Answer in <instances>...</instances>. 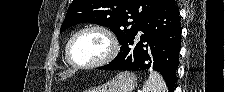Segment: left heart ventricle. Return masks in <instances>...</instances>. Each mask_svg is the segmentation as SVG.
I'll return each mask as SVG.
<instances>
[{"instance_id": "1", "label": "left heart ventricle", "mask_w": 225, "mask_h": 92, "mask_svg": "<svg viewBox=\"0 0 225 92\" xmlns=\"http://www.w3.org/2000/svg\"><path fill=\"white\" fill-rule=\"evenodd\" d=\"M109 51L106 37L96 31L79 35L71 46V57L79 64H89L104 58Z\"/></svg>"}]
</instances>
